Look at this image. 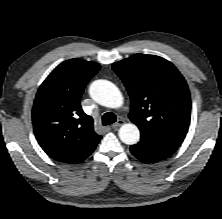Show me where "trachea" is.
Returning <instances> with one entry per match:
<instances>
[{"label": "trachea", "mask_w": 222, "mask_h": 219, "mask_svg": "<svg viewBox=\"0 0 222 219\" xmlns=\"http://www.w3.org/2000/svg\"><path fill=\"white\" fill-rule=\"evenodd\" d=\"M114 122H116V116L114 113L112 112H107L103 115L102 117V124L104 126L106 125H110V124H113Z\"/></svg>", "instance_id": "obj_1"}]
</instances>
